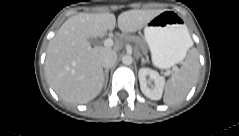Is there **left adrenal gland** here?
I'll use <instances>...</instances> for the list:
<instances>
[{
  "instance_id": "a2214340",
  "label": "left adrenal gland",
  "mask_w": 239,
  "mask_h": 136,
  "mask_svg": "<svg viewBox=\"0 0 239 136\" xmlns=\"http://www.w3.org/2000/svg\"><path fill=\"white\" fill-rule=\"evenodd\" d=\"M145 61H144V59H142V63H144Z\"/></svg>"
}]
</instances>
